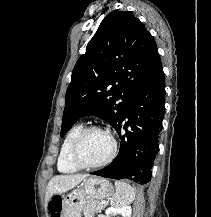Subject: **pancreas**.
<instances>
[{
    "instance_id": "1",
    "label": "pancreas",
    "mask_w": 211,
    "mask_h": 217,
    "mask_svg": "<svg viewBox=\"0 0 211 217\" xmlns=\"http://www.w3.org/2000/svg\"><path fill=\"white\" fill-rule=\"evenodd\" d=\"M102 208L103 204L98 200L88 199L83 208V212L85 217H93L94 213L100 212Z\"/></svg>"
}]
</instances>
